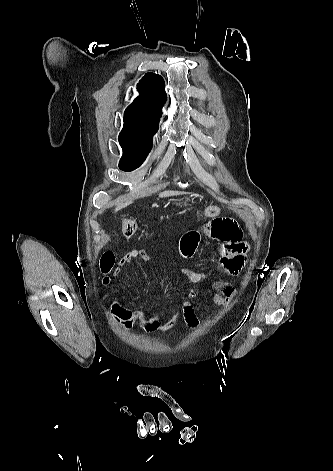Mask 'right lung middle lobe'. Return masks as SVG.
I'll return each instance as SVG.
<instances>
[{"instance_id":"right-lung-middle-lobe-1","label":"right lung middle lobe","mask_w":333,"mask_h":471,"mask_svg":"<svg viewBox=\"0 0 333 471\" xmlns=\"http://www.w3.org/2000/svg\"><path fill=\"white\" fill-rule=\"evenodd\" d=\"M155 133L146 130H122L119 142L124 153L119 163L120 169L132 171L142 164L152 147V137Z\"/></svg>"}]
</instances>
